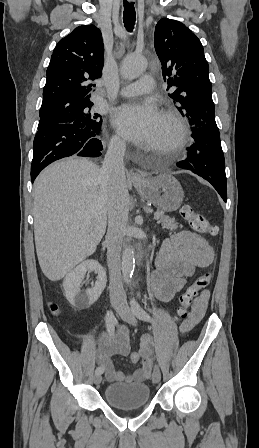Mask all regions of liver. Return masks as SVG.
I'll return each mask as SVG.
<instances>
[{
  "instance_id": "liver-1",
  "label": "liver",
  "mask_w": 259,
  "mask_h": 448,
  "mask_svg": "<svg viewBox=\"0 0 259 448\" xmlns=\"http://www.w3.org/2000/svg\"><path fill=\"white\" fill-rule=\"evenodd\" d=\"M99 172L94 162L73 156L47 166L33 184L36 252L51 282L92 256L105 234L108 194Z\"/></svg>"
}]
</instances>
